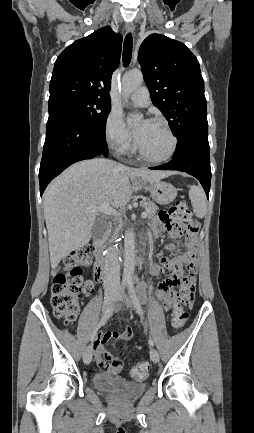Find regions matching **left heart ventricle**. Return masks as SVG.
<instances>
[{
	"mask_svg": "<svg viewBox=\"0 0 254 433\" xmlns=\"http://www.w3.org/2000/svg\"><path fill=\"white\" fill-rule=\"evenodd\" d=\"M137 141L141 149L153 158L165 156L172 144L171 138L164 127L151 121Z\"/></svg>",
	"mask_w": 254,
	"mask_h": 433,
	"instance_id": "left-heart-ventricle-1",
	"label": "left heart ventricle"
}]
</instances>
